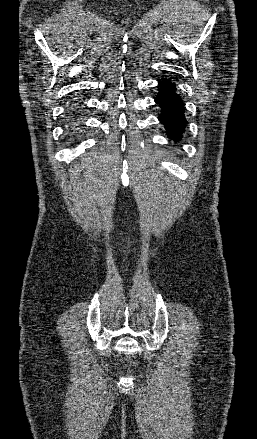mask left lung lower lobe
Masks as SVG:
<instances>
[{
    "instance_id": "obj_1",
    "label": "left lung lower lobe",
    "mask_w": 257,
    "mask_h": 439,
    "mask_svg": "<svg viewBox=\"0 0 257 439\" xmlns=\"http://www.w3.org/2000/svg\"><path fill=\"white\" fill-rule=\"evenodd\" d=\"M159 85L155 102L159 104L162 112L158 119L164 125L170 140L181 141L187 126L184 104L170 79L159 80Z\"/></svg>"
}]
</instances>
